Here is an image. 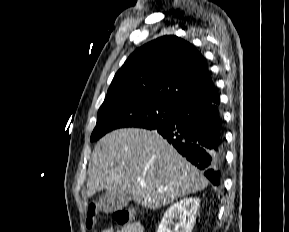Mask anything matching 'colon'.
Instances as JSON below:
<instances>
[{"instance_id": "obj_1", "label": "colon", "mask_w": 289, "mask_h": 232, "mask_svg": "<svg viewBox=\"0 0 289 232\" xmlns=\"http://www.w3.org/2000/svg\"><path fill=\"white\" fill-rule=\"evenodd\" d=\"M98 213L96 203H91L87 209L86 226L92 229L95 224V218ZM114 221L119 227L129 224L133 217V212L130 209H118L112 214Z\"/></svg>"}]
</instances>
